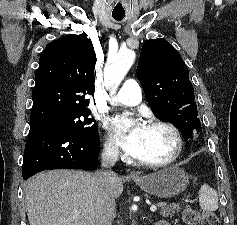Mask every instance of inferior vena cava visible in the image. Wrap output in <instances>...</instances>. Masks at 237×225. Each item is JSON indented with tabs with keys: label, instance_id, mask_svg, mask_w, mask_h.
<instances>
[{
	"label": "inferior vena cava",
	"instance_id": "inferior-vena-cava-1",
	"mask_svg": "<svg viewBox=\"0 0 237 225\" xmlns=\"http://www.w3.org/2000/svg\"><path fill=\"white\" fill-rule=\"evenodd\" d=\"M118 147L112 143L104 145L101 154L102 168L95 174L94 188L96 225H111L115 217V198L112 187L118 176L112 167L118 160Z\"/></svg>",
	"mask_w": 237,
	"mask_h": 225
}]
</instances>
